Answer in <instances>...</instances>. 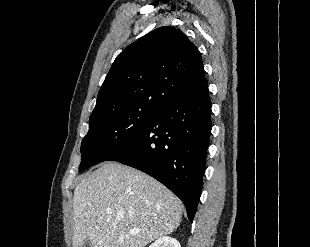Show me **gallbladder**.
Wrapping results in <instances>:
<instances>
[{"label":"gallbladder","mask_w":310,"mask_h":247,"mask_svg":"<svg viewBox=\"0 0 310 247\" xmlns=\"http://www.w3.org/2000/svg\"><path fill=\"white\" fill-rule=\"evenodd\" d=\"M81 247H93V246H92V241H91L89 238H87V239L83 242V244H82Z\"/></svg>","instance_id":"gallbladder-1"}]
</instances>
